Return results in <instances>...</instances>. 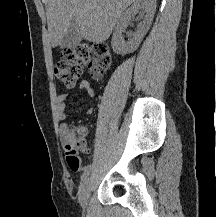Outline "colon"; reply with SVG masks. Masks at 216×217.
Here are the masks:
<instances>
[{
  "label": "colon",
  "mask_w": 216,
  "mask_h": 217,
  "mask_svg": "<svg viewBox=\"0 0 216 217\" xmlns=\"http://www.w3.org/2000/svg\"><path fill=\"white\" fill-rule=\"evenodd\" d=\"M111 64L109 46L104 43H81L62 52V59L54 66L55 76L67 87H73L88 68L95 79L102 78ZM86 149V141L72 131L65 147L66 160L73 171L80 168L79 153Z\"/></svg>",
  "instance_id": "1"
}]
</instances>
